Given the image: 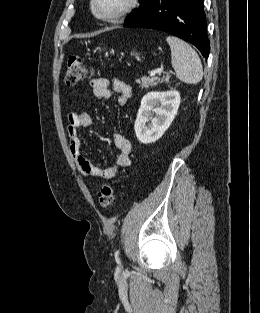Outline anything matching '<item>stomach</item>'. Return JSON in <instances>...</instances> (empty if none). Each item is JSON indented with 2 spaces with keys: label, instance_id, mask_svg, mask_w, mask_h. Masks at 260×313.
Masks as SVG:
<instances>
[{
  "label": "stomach",
  "instance_id": "obj_1",
  "mask_svg": "<svg viewBox=\"0 0 260 313\" xmlns=\"http://www.w3.org/2000/svg\"><path fill=\"white\" fill-rule=\"evenodd\" d=\"M131 54L134 55V56H136V57L139 56V54H138V53H135V52H132Z\"/></svg>",
  "mask_w": 260,
  "mask_h": 313
}]
</instances>
